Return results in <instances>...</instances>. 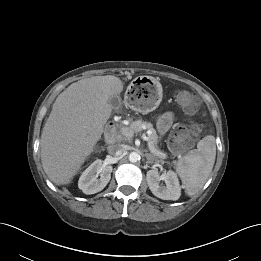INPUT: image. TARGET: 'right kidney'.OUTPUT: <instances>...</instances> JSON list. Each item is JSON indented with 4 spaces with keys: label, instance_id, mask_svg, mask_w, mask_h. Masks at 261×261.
I'll use <instances>...</instances> for the list:
<instances>
[{
    "label": "right kidney",
    "instance_id": "ca27d5eb",
    "mask_svg": "<svg viewBox=\"0 0 261 261\" xmlns=\"http://www.w3.org/2000/svg\"><path fill=\"white\" fill-rule=\"evenodd\" d=\"M111 172L112 166L105 165L102 160L97 159L82 173L78 181V187L85 194L100 192L110 181Z\"/></svg>",
    "mask_w": 261,
    "mask_h": 261
}]
</instances>
